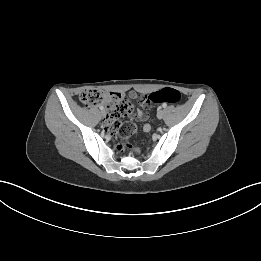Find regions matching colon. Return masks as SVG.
Instances as JSON below:
<instances>
[{"label": "colon", "mask_w": 261, "mask_h": 261, "mask_svg": "<svg viewBox=\"0 0 261 261\" xmlns=\"http://www.w3.org/2000/svg\"><path fill=\"white\" fill-rule=\"evenodd\" d=\"M149 101L154 103L168 102L177 104L181 101V94L173 88H165L148 95ZM81 102L86 106H94L103 103L107 107V128L114 134L120 149L131 148L130 138L135 133L133 122L123 118L127 116L132 106L128 99L119 93H107L96 88H88L80 95Z\"/></svg>", "instance_id": "colon-1"}]
</instances>
